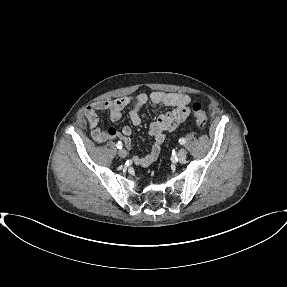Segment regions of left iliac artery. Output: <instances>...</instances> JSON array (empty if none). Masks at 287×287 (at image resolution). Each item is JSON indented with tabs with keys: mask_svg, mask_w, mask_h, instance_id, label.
I'll use <instances>...</instances> for the list:
<instances>
[{
	"mask_svg": "<svg viewBox=\"0 0 287 287\" xmlns=\"http://www.w3.org/2000/svg\"><path fill=\"white\" fill-rule=\"evenodd\" d=\"M185 142H186V140H185L184 138H180V139H179V143H180V144L184 145Z\"/></svg>",
	"mask_w": 287,
	"mask_h": 287,
	"instance_id": "obj_1",
	"label": "left iliac artery"
}]
</instances>
